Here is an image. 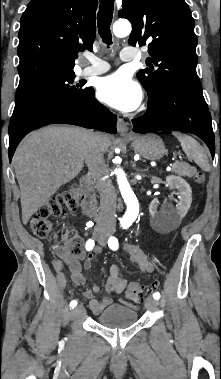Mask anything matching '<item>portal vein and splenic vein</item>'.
<instances>
[{
  "instance_id": "1",
  "label": "portal vein and splenic vein",
  "mask_w": 221,
  "mask_h": 379,
  "mask_svg": "<svg viewBox=\"0 0 221 379\" xmlns=\"http://www.w3.org/2000/svg\"><path fill=\"white\" fill-rule=\"evenodd\" d=\"M171 165H172V167H174V166H175V164H171ZM167 169L171 170V167H167Z\"/></svg>"
}]
</instances>
